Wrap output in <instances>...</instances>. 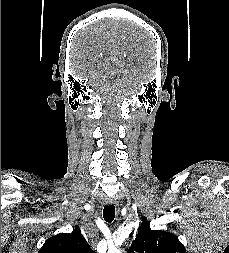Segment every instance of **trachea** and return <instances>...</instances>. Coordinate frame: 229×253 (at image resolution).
<instances>
[{"label":"trachea","instance_id":"trachea-1","mask_svg":"<svg viewBox=\"0 0 229 253\" xmlns=\"http://www.w3.org/2000/svg\"><path fill=\"white\" fill-rule=\"evenodd\" d=\"M115 217V207L113 204L105 205L103 209V218L106 222L111 223Z\"/></svg>","mask_w":229,"mask_h":253}]
</instances>
